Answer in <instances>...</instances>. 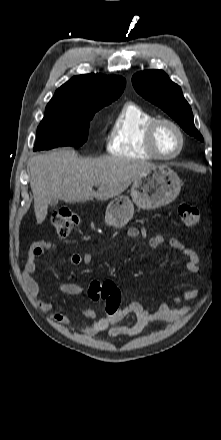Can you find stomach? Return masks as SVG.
<instances>
[{
	"mask_svg": "<svg viewBox=\"0 0 221 440\" xmlns=\"http://www.w3.org/2000/svg\"><path fill=\"white\" fill-rule=\"evenodd\" d=\"M181 186L180 178L171 168L165 165L154 166L133 182L132 201L126 196H118L108 204L105 223L122 228L133 217V203L142 209L161 207L178 196Z\"/></svg>",
	"mask_w": 221,
	"mask_h": 440,
	"instance_id": "0dacf381",
	"label": "stomach"
}]
</instances>
